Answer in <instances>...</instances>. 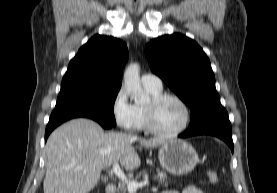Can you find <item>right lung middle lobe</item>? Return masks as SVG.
Wrapping results in <instances>:
<instances>
[{
    "label": "right lung middle lobe",
    "mask_w": 277,
    "mask_h": 193,
    "mask_svg": "<svg viewBox=\"0 0 277 193\" xmlns=\"http://www.w3.org/2000/svg\"><path fill=\"white\" fill-rule=\"evenodd\" d=\"M118 91L85 86L60 90L54 110L90 113L115 126L114 102Z\"/></svg>",
    "instance_id": "obj_1"
}]
</instances>
